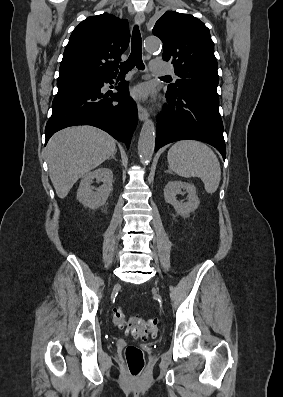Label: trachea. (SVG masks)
I'll use <instances>...</instances> for the list:
<instances>
[{"label":"trachea","instance_id":"trachea-1","mask_svg":"<svg viewBox=\"0 0 283 397\" xmlns=\"http://www.w3.org/2000/svg\"><path fill=\"white\" fill-rule=\"evenodd\" d=\"M144 70L145 66L142 61V40L138 25H135L132 32L131 53L125 62L120 63V75H125L134 67ZM167 77V76H165Z\"/></svg>","mask_w":283,"mask_h":397}]
</instances>
